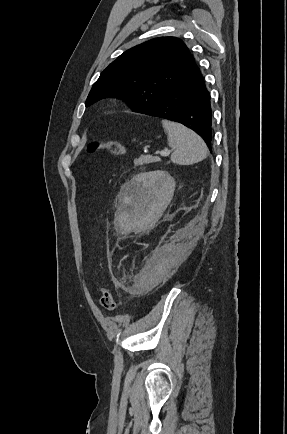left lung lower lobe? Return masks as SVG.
Masks as SVG:
<instances>
[{
	"label": "left lung lower lobe",
	"mask_w": 287,
	"mask_h": 434,
	"mask_svg": "<svg viewBox=\"0 0 287 434\" xmlns=\"http://www.w3.org/2000/svg\"><path fill=\"white\" fill-rule=\"evenodd\" d=\"M139 113L182 123L199 134L211 150L210 94L197 65L155 105L143 109Z\"/></svg>",
	"instance_id": "obj_1"
}]
</instances>
